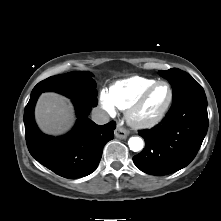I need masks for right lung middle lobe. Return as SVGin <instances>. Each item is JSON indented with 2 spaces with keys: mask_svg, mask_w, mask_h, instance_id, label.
I'll use <instances>...</instances> for the list:
<instances>
[{
  "mask_svg": "<svg viewBox=\"0 0 221 221\" xmlns=\"http://www.w3.org/2000/svg\"><path fill=\"white\" fill-rule=\"evenodd\" d=\"M91 76L92 74L87 71L69 72L66 74L51 76L39 82L34 87L32 94L54 91L69 97L72 101L96 106V83Z\"/></svg>",
  "mask_w": 221,
  "mask_h": 221,
  "instance_id": "obj_1",
  "label": "right lung middle lobe"
}]
</instances>
